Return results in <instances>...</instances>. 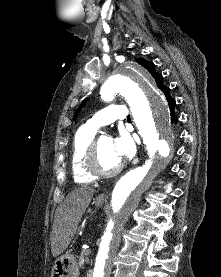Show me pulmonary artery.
Returning a JSON list of instances; mask_svg holds the SVG:
<instances>
[{"mask_svg":"<svg viewBox=\"0 0 221 277\" xmlns=\"http://www.w3.org/2000/svg\"><path fill=\"white\" fill-rule=\"evenodd\" d=\"M128 116V110L124 105H109L97 112L87 121L85 126L97 130L101 126L108 125L116 120H125Z\"/></svg>","mask_w":221,"mask_h":277,"instance_id":"pulmonary-artery-1","label":"pulmonary artery"}]
</instances>
